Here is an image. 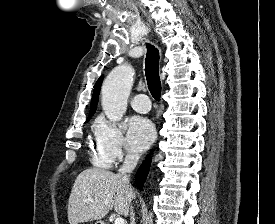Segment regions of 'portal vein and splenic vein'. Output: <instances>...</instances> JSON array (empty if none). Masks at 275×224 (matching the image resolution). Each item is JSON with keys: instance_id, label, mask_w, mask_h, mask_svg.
Instances as JSON below:
<instances>
[{"instance_id": "18ae733b", "label": "portal vein and splenic vein", "mask_w": 275, "mask_h": 224, "mask_svg": "<svg viewBox=\"0 0 275 224\" xmlns=\"http://www.w3.org/2000/svg\"><path fill=\"white\" fill-rule=\"evenodd\" d=\"M114 224H125V220L121 217L115 219Z\"/></svg>"}]
</instances>
